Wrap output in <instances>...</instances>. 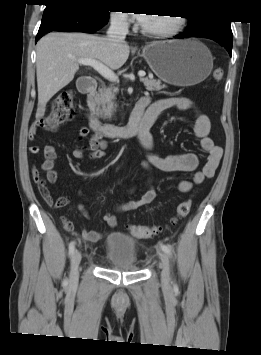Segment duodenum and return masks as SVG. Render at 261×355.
I'll return each mask as SVG.
<instances>
[{
  "label": "duodenum",
  "mask_w": 261,
  "mask_h": 355,
  "mask_svg": "<svg viewBox=\"0 0 261 355\" xmlns=\"http://www.w3.org/2000/svg\"><path fill=\"white\" fill-rule=\"evenodd\" d=\"M97 86L98 83L88 77L81 78L77 84L78 90L81 93L88 94L90 96V100H93V94ZM140 100L135 106L129 122L125 125L102 123L90 110H88L86 112V118L90 128L94 132L100 133L108 138H129L151 128L153 122L146 120L143 117L142 105L144 100Z\"/></svg>",
  "instance_id": "1"
}]
</instances>
